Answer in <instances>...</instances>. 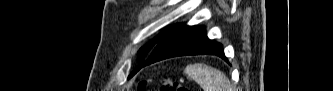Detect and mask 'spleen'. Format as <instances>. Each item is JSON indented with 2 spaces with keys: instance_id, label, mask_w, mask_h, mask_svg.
Segmentation results:
<instances>
[{
  "instance_id": "3e777b00",
  "label": "spleen",
  "mask_w": 333,
  "mask_h": 91,
  "mask_svg": "<svg viewBox=\"0 0 333 91\" xmlns=\"http://www.w3.org/2000/svg\"><path fill=\"white\" fill-rule=\"evenodd\" d=\"M184 73L197 82L204 91H232L226 75L206 64H190L186 66Z\"/></svg>"
}]
</instances>
